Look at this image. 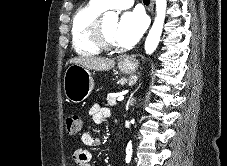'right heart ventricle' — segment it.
Here are the masks:
<instances>
[{
	"instance_id": "e07e8e85",
	"label": "right heart ventricle",
	"mask_w": 227,
	"mask_h": 166,
	"mask_svg": "<svg viewBox=\"0 0 227 166\" xmlns=\"http://www.w3.org/2000/svg\"><path fill=\"white\" fill-rule=\"evenodd\" d=\"M104 11L98 3L89 0L75 12L71 23V43L77 54L94 56L101 52L92 40L90 31L92 24Z\"/></svg>"
}]
</instances>
